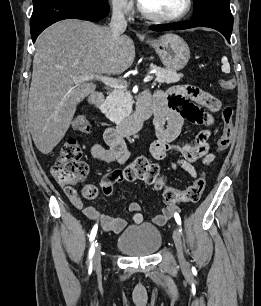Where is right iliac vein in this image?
<instances>
[{
  "instance_id": "right-iliac-vein-1",
  "label": "right iliac vein",
  "mask_w": 261,
  "mask_h": 306,
  "mask_svg": "<svg viewBox=\"0 0 261 306\" xmlns=\"http://www.w3.org/2000/svg\"><path fill=\"white\" fill-rule=\"evenodd\" d=\"M101 246L98 245L97 248H96V252L94 254V257H93V267L94 269H99L100 268V265H101Z\"/></svg>"
}]
</instances>
